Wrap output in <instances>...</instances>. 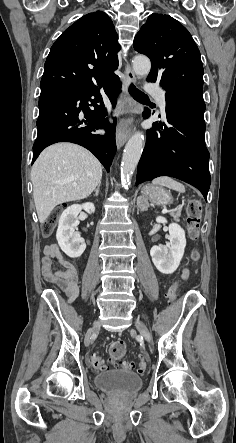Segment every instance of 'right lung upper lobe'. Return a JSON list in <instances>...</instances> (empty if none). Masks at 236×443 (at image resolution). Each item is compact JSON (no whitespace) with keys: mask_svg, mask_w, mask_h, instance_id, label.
<instances>
[{"mask_svg":"<svg viewBox=\"0 0 236 443\" xmlns=\"http://www.w3.org/2000/svg\"><path fill=\"white\" fill-rule=\"evenodd\" d=\"M106 13H89L54 42L44 65L42 89L91 87L115 76L119 45Z\"/></svg>","mask_w":236,"mask_h":443,"instance_id":"cb5924a9","label":"right lung upper lobe"}]
</instances>
